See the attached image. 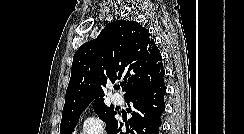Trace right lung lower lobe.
<instances>
[{
  "label": "right lung lower lobe",
  "instance_id": "98d812e1",
  "mask_svg": "<svg viewBox=\"0 0 244 134\" xmlns=\"http://www.w3.org/2000/svg\"><path fill=\"white\" fill-rule=\"evenodd\" d=\"M165 93L164 75L129 93L125 99L133 105L132 118L124 121L127 130L122 129L123 121L115 118L107 128V134H159Z\"/></svg>",
  "mask_w": 244,
  "mask_h": 134
}]
</instances>
